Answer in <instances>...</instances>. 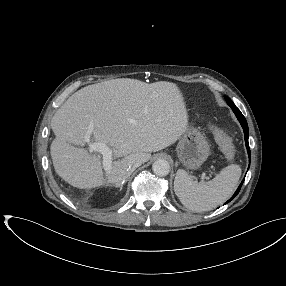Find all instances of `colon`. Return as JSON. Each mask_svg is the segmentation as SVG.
I'll return each instance as SVG.
<instances>
[{"mask_svg":"<svg viewBox=\"0 0 286 286\" xmlns=\"http://www.w3.org/2000/svg\"><path fill=\"white\" fill-rule=\"evenodd\" d=\"M212 133L224 157L227 160H233L236 156V149L229 135L219 127H214Z\"/></svg>","mask_w":286,"mask_h":286,"instance_id":"5ec220e1","label":"colon"}]
</instances>
